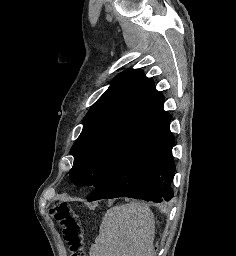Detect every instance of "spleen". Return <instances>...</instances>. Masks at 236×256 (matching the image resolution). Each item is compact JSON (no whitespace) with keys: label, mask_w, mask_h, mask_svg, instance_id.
<instances>
[{"label":"spleen","mask_w":236,"mask_h":256,"mask_svg":"<svg viewBox=\"0 0 236 256\" xmlns=\"http://www.w3.org/2000/svg\"><path fill=\"white\" fill-rule=\"evenodd\" d=\"M154 236V214L148 206H114L107 210L89 256H152Z\"/></svg>","instance_id":"obj_1"}]
</instances>
